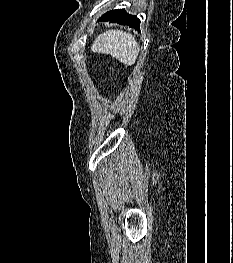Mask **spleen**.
Wrapping results in <instances>:
<instances>
[{
    "label": "spleen",
    "mask_w": 233,
    "mask_h": 263,
    "mask_svg": "<svg viewBox=\"0 0 233 263\" xmlns=\"http://www.w3.org/2000/svg\"><path fill=\"white\" fill-rule=\"evenodd\" d=\"M91 50L109 54L121 63L132 66L136 62L140 48L132 34L120 30H109L97 36Z\"/></svg>",
    "instance_id": "1"
}]
</instances>
